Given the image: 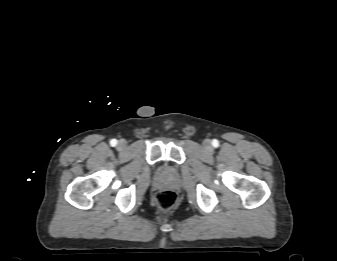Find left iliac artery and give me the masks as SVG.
I'll use <instances>...</instances> for the list:
<instances>
[{
  "label": "left iliac artery",
  "mask_w": 337,
  "mask_h": 261,
  "mask_svg": "<svg viewBox=\"0 0 337 261\" xmlns=\"http://www.w3.org/2000/svg\"><path fill=\"white\" fill-rule=\"evenodd\" d=\"M212 144H213V146L217 147L218 144H219V142L216 139H214L213 142H212Z\"/></svg>",
  "instance_id": "1"
}]
</instances>
